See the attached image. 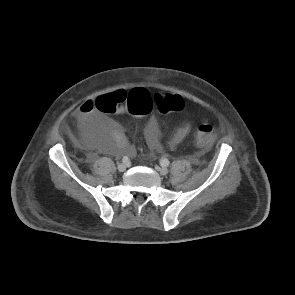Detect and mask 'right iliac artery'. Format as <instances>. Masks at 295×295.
Segmentation results:
<instances>
[{"label": "right iliac artery", "mask_w": 295, "mask_h": 295, "mask_svg": "<svg viewBox=\"0 0 295 295\" xmlns=\"http://www.w3.org/2000/svg\"><path fill=\"white\" fill-rule=\"evenodd\" d=\"M123 163H128L129 162V158L127 156H124L122 159Z\"/></svg>", "instance_id": "82829eb1"}]
</instances>
